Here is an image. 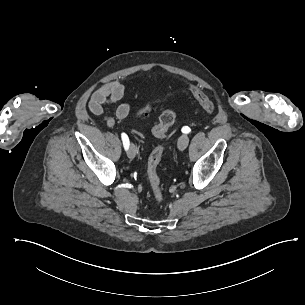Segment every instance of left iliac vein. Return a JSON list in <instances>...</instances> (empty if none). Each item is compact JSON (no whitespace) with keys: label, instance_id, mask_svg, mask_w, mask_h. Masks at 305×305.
Here are the masks:
<instances>
[{"label":"left iliac vein","instance_id":"left-iliac-vein-1","mask_svg":"<svg viewBox=\"0 0 305 305\" xmlns=\"http://www.w3.org/2000/svg\"><path fill=\"white\" fill-rule=\"evenodd\" d=\"M189 143V137L186 134H183L178 139V148L184 150Z\"/></svg>","mask_w":305,"mask_h":305}]
</instances>
